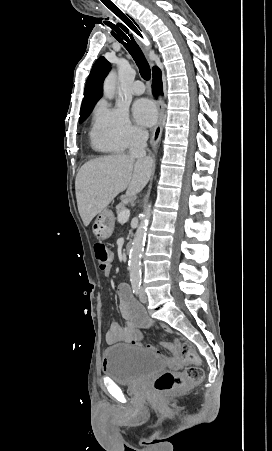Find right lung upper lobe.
<instances>
[{"label": "right lung upper lobe", "instance_id": "1", "mask_svg": "<svg viewBox=\"0 0 272 451\" xmlns=\"http://www.w3.org/2000/svg\"><path fill=\"white\" fill-rule=\"evenodd\" d=\"M110 70V63L100 57L92 67L87 79L81 108H93L103 93V81Z\"/></svg>", "mask_w": 272, "mask_h": 451}]
</instances>
